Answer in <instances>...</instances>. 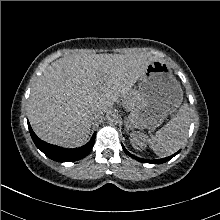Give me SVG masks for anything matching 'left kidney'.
<instances>
[{"label": "left kidney", "mask_w": 220, "mask_h": 220, "mask_svg": "<svg viewBox=\"0 0 220 220\" xmlns=\"http://www.w3.org/2000/svg\"><path fill=\"white\" fill-rule=\"evenodd\" d=\"M146 136L139 132H133L130 134V142L134 149L142 151L146 148Z\"/></svg>", "instance_id": "1"}]
</instances>
